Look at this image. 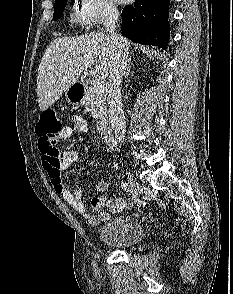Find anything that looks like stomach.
Here are the masks:
<instances>
[{
	"label": "stomach",
	"mask_w": 233,
	"mask_h": 294,
	"mask_svg": "<svg viewBox=\"0 0 233 294\" xmlns=\"http://www.w3.org/2000/svg\"><path fill=\"white\" fill-rule=\"evenodd\" d=\"M66 99L70 103H82L83 92L79 88L70 87L65 93Z\"/></svg>",
	"instance_id": "stomach-1"
}]
</instances>
